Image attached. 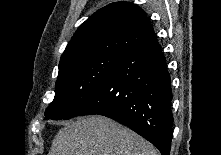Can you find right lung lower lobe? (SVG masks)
Here are the masks:
<instances>
[{"instance_id": "1", "label": "right lung lower lobe", "mask_w": 221, "mask_h": 155, "mask_svg": "<svg viewBox=\"0 0 221 155\" xmlns=\"http://www.w3.org/2000/svg\"><path fill=\"white\" fill-rule=\"evenodd\" d=\"M172 89L165 57L155 36L133 47L112 70L79 116L109 117L169 155Z\"/></svg>"}]
</instances>
